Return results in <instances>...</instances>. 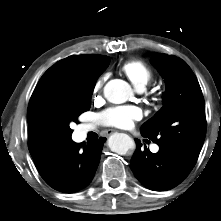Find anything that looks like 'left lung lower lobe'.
I'll list each match as a JSON object with an SVG mask.
<instances>
[{
  "label": "left lung lower lobe",
  "instance_id": "left-lung-lower-lobe-1",
  "mask_svg": "<svg viewBox=\"0 0 221 221\" xmlns=\"http://www.w3.org/2000/svg\"><path fill=\"white\" fill-rule=\"evenodd\" d=\"M135 141L137 149L130 168L136 178L151 190L166 191L176 187L194 167L175 150L159 146V151L153 154L146 147L142 150L138 139Z\"/></svg>",
  "mask_w": 221,
  "mask_h": 221
}]
</instances>
